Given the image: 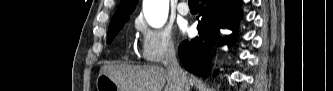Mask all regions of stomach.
<instances>
[{
    "label": "stomach",
    "mask_w": 333,
    "mask_h": 91,
    "mask_svg": "<svg viewBox=\"0 0 333 91\" xmlns=\"http://www.w3.org/2000/svg\"><path fill=\"white\" fill-rule=\"evenodd\" d=\"M97 91H122V89L106 74H99L96 80Z\"/></svg>",
    "instance_id": "1"
}]
</instances>
